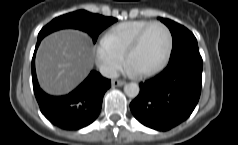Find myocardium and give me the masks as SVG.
Instances as JSON below:
<instances>
[{
    "label": "myocardium",
    "instance_id": "1",
    "mask_svg": "<svg viewBox=\"0 0 238 145\" xmlns=\"http://www.w3.org/2000/svg\"><path fill=\"white\" fill-rule=\"evenodd\" d=\"M154 26H160L162 27L167 34V47L165 50V53L163 55V57L161 58V60L151 69L143 71V72H139L137 73L139 76L141 77H148L151 76L155 73H157L159 70H161L163 68V66L166 64V62L168 61L171 51H172V47H173V37H172V33L171 30L169 29V27L164 24L163 22L160 21H153L151 23H149L147 26H145L134 38V40L130 43V45L128 46V48L126 49V52L124 54V59L125 62L128 64V59L130 57V55L139 47V45L141 44L145 34L148 32V30Z\"/></svg>",
    "mask_w": 238,
    "mask_h": 145
}]
</instances>
